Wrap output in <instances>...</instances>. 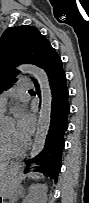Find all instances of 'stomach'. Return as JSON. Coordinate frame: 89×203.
Returning <instances> with one entry per match:
<instances>
[{"instance_id": "stomach-1", "label": "stomach", "mask_w": 89, "mask_h": 203, "mask_svg": "<svg viewBox=\"0 0 89 203\" xmlns=\"http://www.w3.org/2000/svg\"><path fill=\"white\" fill-rule=\"evenodd\" d=\"M17 172V166L10 165L1 179L3 196L5 198L12 197L17 193Z\"/></svg>"}]
</instances>
